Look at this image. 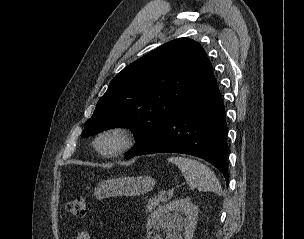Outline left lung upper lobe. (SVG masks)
<instances>
[{
  "label": "left lung upper lobe",
  "mask_w": 304,
  "mask_h": 239,
  "mask_svg": "<svg viewBox=\"0 0 304 239\" xmlns=\"http://www.w3.org/2000/svg\"><path fill=\"white\" fill-rule=\"evenodd\" d=\"M212 75L204 49L194 40L170 41L126 66L110 82L81 137L102 130H134L137 147L161 131Z\"/></svg>",
  "instance_id": "obj_1"
}]
</instances>
